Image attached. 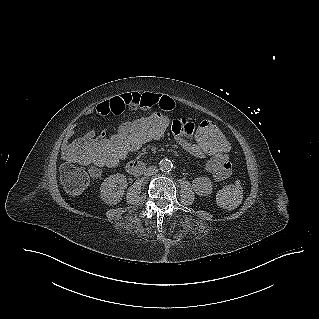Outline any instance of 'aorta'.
Listing matches in <instances>:
<instances>
[{
	"mask_svg": "<svg viewBox=\"0 0 319 319\" xmlns=\"http://www.w3.org/2000/svg\"><path fill=\"white\" fill-rule=\"evenodd\" d=\"M159 168L162 172H170L173 168V164L169 159H162L159 162Z\"/></svg>",
	"mask_w": 319,
	"mask_h": 319,
	"instance_id": "1",
	"label": "aorta"
}]
</instances>
